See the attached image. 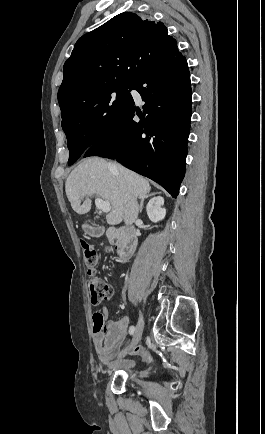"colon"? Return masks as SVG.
Returning <instances> with one entry per match:
<instances>
[{"instance_id":"5ec220e1","label":"colon","mask_w":265,"mask_h":434,"mask_svg":"<svg viewBox=\"0 0 265 434\" xmlns=\"http://www.w3.org/2000/svg\"><path fill=\"white\" fill-rule=\"evenodd\" d=\"M80 247L84 257V263L88 268H94L99 262V256L97 250L88 242L82 240L80 241ZM89 285V298L93 305H99L104 301L110 300L113 294V287L110 283L102 280L99 277L90 274L88 278ZM92 326L94 327V333L100 334L105 328V315L104 314H93L92 315ZM134 351L136 353H143L147 360H151V357L146 351L142 349L141 346L135 347Z\"/></svg>"}]
</instances>
